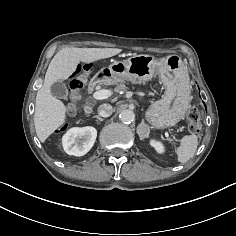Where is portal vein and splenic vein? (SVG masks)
<instances>
[{
    "label": "portal vein and splenic vein",
    "instance_id": "1",
    "mask_svg": "<svg viewBox=\"0 0 236 236\" xmlns=\"http://www.w3.org/2000/svg\"><path fill=\"white\" fill-rule=\"evenodd\" d=\"M111 92L109 90H99L93 93V98L96 100H103L110 97ZM167 139H169V135L166 134Z\"/></svg>",
    "mask_w": 236,
    "mask_h": 236
}]
</instances>
